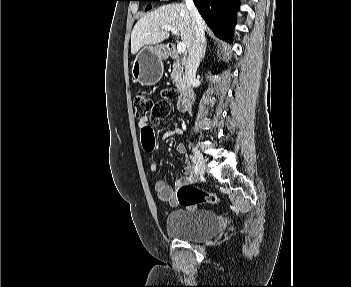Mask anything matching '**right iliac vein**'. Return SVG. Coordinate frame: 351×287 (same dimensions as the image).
<instances>
[{
	"label": "right iliac vein",
	"mask_w": 351,
	"mask_h": 287,
	"mask_svg": "<svg viewBox=\"0 0 351 287\" xmlns=\"http://www.w3.org/2000/svg\"><path fill=\"white\" fill-rule=\"evenodd\" d=\"M192 151L196 160L197 167L199 169V173L201 175H204L206 171L205 159L197 147L192 146Z\"/></svg>",
	"instance_id": "63e3f726"
}]
</instances>
